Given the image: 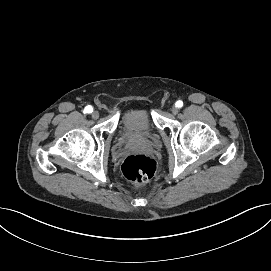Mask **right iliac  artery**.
Masks as SVG:
<instances>
[{"label":"right iliac artery","instance_id":"obj_1","mask_svg":"<svg viewBox=\"0 0 271 271\" xmlns=\"http://www.w3.org/2000/svg\"><path fill=\"white\" fill-rule=\"evenodd\" d=\"M92 111H93L92 106L88 105V106L85 107V112L86 113H92Z\"/></svg>","mask_w":271,"mask_h":271}]
</instances>
